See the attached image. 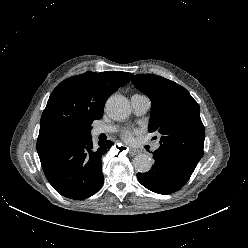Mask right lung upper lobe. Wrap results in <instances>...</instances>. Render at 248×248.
Masks as SVG:
<instances>
[{"label":"right lung upper lobe","mask_w":248,"mask_h":248,"mask_svg":"<svg viewBox=\"0 0 248 248\" xmlns=\"http://www.w3.org/2000/svg\"><path fill=\"white\" fill-rule=\"evenodd\" d=\"M131 78V73L121 71H88L61 82L42 113L38 154L70 134L90 132L92 122L103 116L107 98Z\"/></svg>","instance_id":"right-lung-upper-lobe-1"}]
</instances>
